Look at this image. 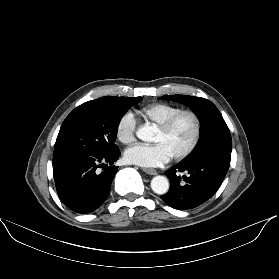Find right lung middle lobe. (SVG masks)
I'll return each instance as SVG.
<instances>
[{"label":"right lung middle lobe","instance_id":"1","mask_svg":"<svg viewBox=\"0 0 279 279\" xmlns=\"http://www.w3.org/2000/svg\"><path fill=\"white\" fill-rule=\"evenodd\" d=\"M141 97H101L83 103L64 120L53 159L71 156L102 157L118 147L117 127L123 114Z\"/></svg>","mask_w":279,"mask_h":279}]
</instances>
